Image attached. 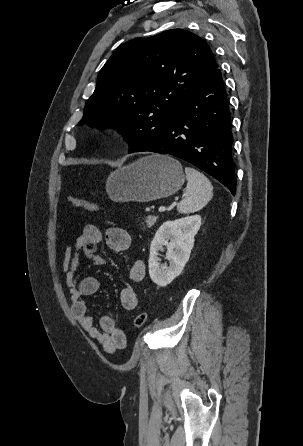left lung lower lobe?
Returning <instances> with one entry per match:
<instances>
[{
	"mask_svg": "<svg viewBox=\"0 0 303 446\" xmlns=\"http://www.w3.org/2000/svg\"><path fill=\"white\" fill-rule=\"evenodd\" d=\"M230 112L217 68L178 107L153 141L135 152L170 154L186 160L236 192Z\"/></svg>",
	"mask_w": 303,
	"mask_h": 446,
	"instance_id": "left-lung-lower-lobe-1",
	"label": "left lung lower lobe"
}]
</instances>
